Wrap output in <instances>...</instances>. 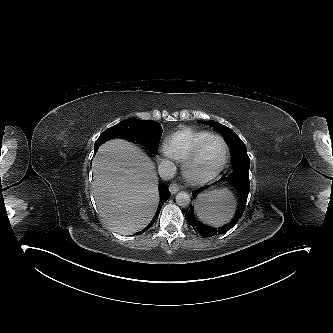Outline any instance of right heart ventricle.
Instances as JSON below:
<instances>
[{
    "instance_id": "e07e8e85",
    "label": "right heart ventricle",
    "mask_w": 333,
    "mask_h": 333,
    "mask_svg": "<svg viewBox=\"0 0 333 333\" xmlns=\"http://www.w3.org/2000/svg\"><path fill=\"white\" fill-rule=\"evenodd\" d=\"M210 133L203 130L183 128L166 140V151L174 159L183 162L195 146Z\"/></svg>"
}]
</instances>
